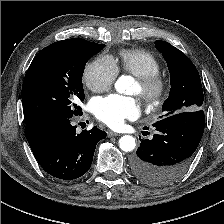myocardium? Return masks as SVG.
I'll return each mask as SVG.
<instances>
[{
  "mask_svg": "<svg viewBox=\"0 0 224 224\" xmlns=\"http://www.w3.org/2000/svg\"><path fill=\"white\" fill-rule=\"evenodd\" d=\"M139 94L146 106L157 108L161 106L170 92V82L167 77L158 73L137 78Z\"/></svg>",
  "mask_w": 224,
  "mask_h": 224,
  "instance_id": "f54148a6",
  "label": "myocardium"
}]
</instances>
